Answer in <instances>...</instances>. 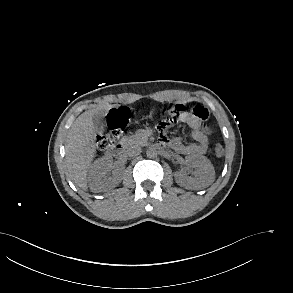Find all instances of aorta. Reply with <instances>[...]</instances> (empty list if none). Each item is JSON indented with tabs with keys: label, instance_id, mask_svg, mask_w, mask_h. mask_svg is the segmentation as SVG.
<instances>
[{
	"label": "aorta",
	"instance_id": "obj_1",
	"mask_svg": "<svg viewBox=\"0 0 293 293\" xmlns=\"http://www.w3.org/2000/svg\"><path fill=\"white\" fill-rule=\"evenodd\" d=\"M157 154H158V152L154 147H150L146 151V155L148 158H155V157H157Z\"/></svg>",
	"mask_w": 293,
	"mask_h": 293
}]
</instances>
